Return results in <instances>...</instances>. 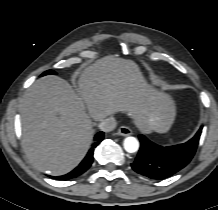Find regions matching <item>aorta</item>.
Here are the masks:
<instances>
[{"label": "aorta", "instance_id": "aorta-1", "mask_svg": "<svg viewBox=\"0 0 218 210\" xmlns=\"http://www.w3.org/2000/svg\"><path fill=\"white\" fill-rule=\"evenodd\" d=\"M124 149L129 153H134L139 149V142L135 137H126L124 139Z\"/></svg>", "mask_w": 218, "mask_h": 210}]
</instances>
